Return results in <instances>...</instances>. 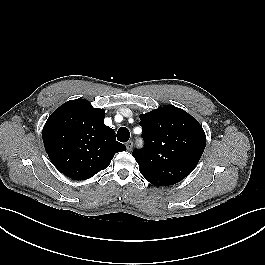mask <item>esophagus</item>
Listing matches in <instances>:
<instances>
[{
	"label": "esophagus",
	"instance_id": "34e87169",
	"mask_svg": "<svg viewBox=\"0 0 265 265\" xmlns=\"http://www.w3.org/2000/svg\"><path fill=\"white\" fill-rule=\"evenodd\" d=\"M132 147H133V142H132V141H128V142L126 143V148H127V150H128V151H131Z\"/></svg>",
	"mask_w": 265,
	"mask_h": 265
}]
</instances>
